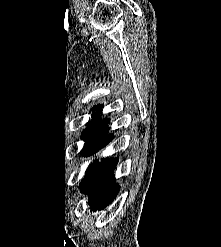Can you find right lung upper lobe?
<instances>
[{"mask_svg":"<svg viewBox=\"0 0 221 247\" xmlns=\"http://www.w3.org/2000/svg\"><path fill=\"white\" fill-rule=\"evenodd\" d=\"M94 110L96 111V113L93 114V119L86 124L88 127L84 131L107 124L109 121V119H105L104 121H101L99 119V115L102 111L101 105L95 106Z\"/></svg>","mask_w":221,"mask_h":247,"instance_id":"obj_1","label":"right lung upper lobe"}]
</instances>
